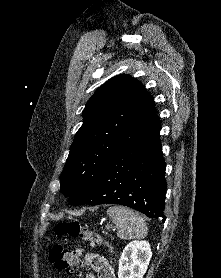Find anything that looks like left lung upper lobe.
Segmentation results:
<instances>
[{
    "instance_id": "1",
    "label": "left lung upper lobe",
    "mask_w": 221,
    "mask_h": 278,
    "mask_svg": "<svg viewBox=\"0 0 221 278\" xmlns=\"http://www.w3.org/2000/svg\"><path fill=\"white\" fill-rule=\"evenodd\" d=\"M157 121L152 96L132 76L100 86L86 104L61 174V192L70 204L83 199L113 158Z\"/></svg>"
}]
</instances>
